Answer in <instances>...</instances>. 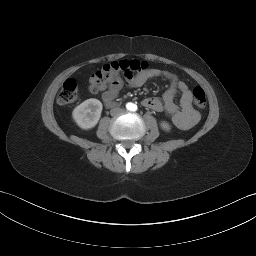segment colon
Returning <instances> with one entry per match:
<instances>
[{"instance_id": "1", "label": "colon", "mask_w": 256, "mask_h": 256, "mask_svg": "<svg viewBox=\"0 0 256 256\" xmlns=\"http://www.w3.org/2000/svg\"><path fill=\"white\" fill-rule=\"evenodd\" d=\"M149 70L148 63L138 60L113 61L105 64L90 77V89L98 91L107 82L118 78L130 79ZM78 98V83L76 79L69 78L65 80L58 94L60 104L75 102ZM193 104L198 109L205 108L207 104L205 92L200 87L193 89Z\"/></svg>"}]
</instances>
